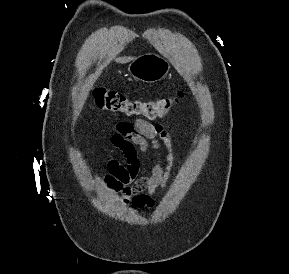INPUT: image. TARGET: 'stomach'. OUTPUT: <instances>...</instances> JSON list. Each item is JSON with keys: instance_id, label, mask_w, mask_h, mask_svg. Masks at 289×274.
<instances>
[{"instance_id": "1", "label": "stomach", "mask_w": 289, "mask_h": 274, "mask_svg": "<svg viewBox=\"0 0 289 274\" xmlns=\"http://www.w3.org/2000/svg\"><path fill=\"white\" fill-rule=\"evenodd\" d=\"M170 63L155 53H146L135 58L128 66L129 74L146 83L160 81L168 74Z\"/></svg>"}]
</instances>
